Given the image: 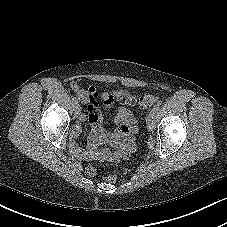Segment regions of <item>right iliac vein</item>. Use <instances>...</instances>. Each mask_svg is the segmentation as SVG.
Returning a JSON list of instances; mask_svg holds the SVG:
<instances>
[{
    "label": "right iliac vein",
    "instance_id": "63e3f726",
    "mask_svg": "<svg viewBox=\"0 0 227 227\" xmlns=\"http://www.w3.org/2000/svg\"><path fill=\"white\" fill-rule=\"evenodd\" d=\"M74 110H75V116L78 117L81 113V106L80 104H75V107H74Z\"/></svg>",
    "mask_w": 227,
    "mask_h": 227
}]
</instances>
